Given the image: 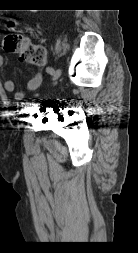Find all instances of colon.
<instances>
[{
	"label": "colon",
	"instance_id": "colon-1",
	"mask_svg": "<svg viewBox=\"0 0 138 253\" xmlns=\"http://www.w3.org/2000/svg\"><path fill=\"white\" fill-rule=\"evenodd\" d=\"M4 48L9 52H19L20 60L25 63L41 65L46 53L42 47L33 46L17 33H9L4 38Z\"/></svg>",
	"mask_w": 138,
	"mask_h": 253
}]
</instances>
